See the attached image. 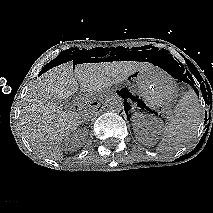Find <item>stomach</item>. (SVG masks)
<instances>
[{"label":"stomach","instance_id":"1","mask_svg":"<svg viewBox=\"0 0 213 213\" xmlns=\"http://www.w3.org/2000/svg\"><path fill=\"white\" fill-rule=\"evenodd\" d=\"M130 78L136 82L151 109L168 106L177 96L176 84L155 67L137 70Z\"/></svg>","mask_w":213,"mask_h":213}]
</instances>
